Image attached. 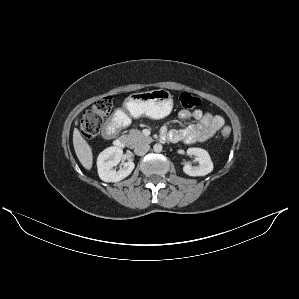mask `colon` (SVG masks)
<instances>
[{
	"mask_svg": "<svg viewBox=\"0 0 299 299\" xmlns=\"http://www.w3.org/2000/svg\"><path fill=\"white\" fill-rule=\"evenodd\" d=\"M179 104L185 109H192L200 105V99L189 93H181L179 95ZM112 108L113 99L110 96H106L96 101L83 114L80 130L85 139L90 140L98 135L104 119L110 115ZM230 134L231 128L229 126H224L221 129L223 137H228Z\"/></svg>",
	"mask_w": 299,
	"mask_h": 299,
	"instance_id": "1",
	"label": "colon"
}]
</instances>
